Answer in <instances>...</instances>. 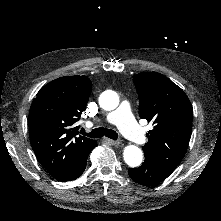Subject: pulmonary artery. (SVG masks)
I'll return each mask as SVG.
<instances>
[{
	"mask_svg": "<svg viewBox=\"0 0 221 221\" xmlns=\"http://www.w3.org/2000/svg\"><path fill=\"white\" fill-rule=\"evenodd\" d=\"M133 105L129 101H122L118 105V110H111L107 114V121L111 125H116L130 138L134 144H141L145 140V133L142 126L136 123L132 117Z\"/></svg>",
	"mask_w": 221,
	"mask_h": 221,
	"instance_id": "pulmonary-artery-1",
	"label": "pulmonary artery"
}]
</instances>
